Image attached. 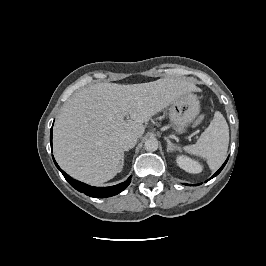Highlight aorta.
<instances>
[{"label":"aorta","mask_w":266,"mask_h":266,"mask_svg":"<svg viewBox=\"0 0 266 266\" xmlns=\"http://www.w3.org/2000/svg\"><path fill=\"white\" fill-rule=\"evenodd\" d=\"M144 148L149 152L156 151L158 149V141L155 138H149L145 141Z\"/></svg>","instance_id":"aorta-1"}]
</instances>
